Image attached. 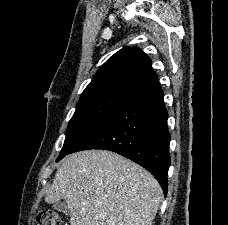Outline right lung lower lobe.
I'll use <instances>...</instances> for the list:
<instances>
[{"instance_id":"1","label":"right lung lower lobe","mask_w":228,"mask_h":225,"mask_svg":"<svg viewBox=\"0 0 228 225\" xmlns=\"http://www.w3.org/2000/svg\"><path fill=\"white\" fill-rule=\"evenodd\" d=\"M167 118L156 79L90 130L69 154L89 149L116 152L151 172L166 196L170 166Z\"/></svg>"}]
</instances>
